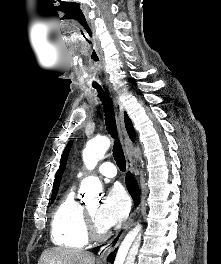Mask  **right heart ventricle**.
Instances as JSON below:
<instances>
[{"mask_svg": "<svg viewBox=\"0 0 221 264\" xmlns=\"http://www.w3.org/2000/svg\"><path fill=\"white\" fill-rule=\"evenodd\" d=\"M52 242L60 247L80 249L89 242L84 207L75 198L74 189L68 190L53 214Z\"/></svg>", "mask_w": 221, "mask_h": 264, "instance_id": "1", "label": "right heart ventricle"}]
</instances>
